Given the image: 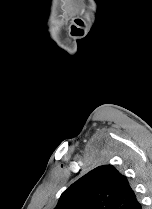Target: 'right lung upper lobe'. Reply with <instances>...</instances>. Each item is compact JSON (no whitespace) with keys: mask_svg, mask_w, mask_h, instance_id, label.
I'll list each match as a JSON object with an SVG mask.
<instances>
[{"mask_svg":"<svg viewBox=\"0 0 152 209\" xmlns=\"http://www.w3.org/2000/svg\"><path fill=\"white\" fill-rule=\"evenodd\" d=\"M135 199L126 176L107 164L74 182L62 193L54 209H129Z\"/></svg>","mask_w":152,"mask_h":209,"instance_id":"right-lung-upper-lobe-1","label":"right lung upper lobe"}]
</instances>
